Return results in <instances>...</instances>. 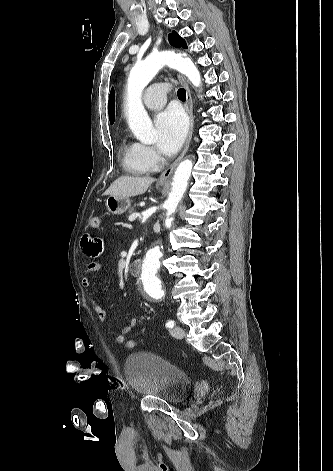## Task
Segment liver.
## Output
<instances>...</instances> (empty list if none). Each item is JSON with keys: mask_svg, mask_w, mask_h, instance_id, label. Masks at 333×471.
Here are the masks:
<instances>
[{"mask_svg": "<svg viewBox=\"0 0 333 471\" xmlns=\"http://www.w3.org/2000/svg\"><path fill=\"white\" fill-rule=\"evenodd\" d=\"M155 181L152 177H131L121 176L117 178L104 195H114L118 197H131L143 194Z\"/></svg>", "mask_w": 333, "mask_h": 471, "instance_id": "1", "label": "liver"}]
</instances>
